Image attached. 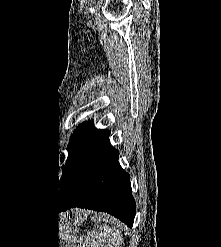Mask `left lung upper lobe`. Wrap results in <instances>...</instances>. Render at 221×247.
Here are the masks:
<instances>
[{"instance_id": "1", "label": "left lung upper lobe", "mask_w": 221, "mask_h": 247, "mask_svg": "<svg viewBox=\"0 0 221 247\" xmlns=\"http://www.w3.org/2000/svg\"><path fill=\"white\" fill-rule=\"evenodd\" d=\"M104 130L93 127V122H84L78 126L70 138L68 158L60 179V190L65 189L76 175L86 153Z\"/></svg>"}]
</instances>
